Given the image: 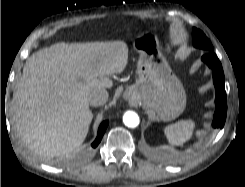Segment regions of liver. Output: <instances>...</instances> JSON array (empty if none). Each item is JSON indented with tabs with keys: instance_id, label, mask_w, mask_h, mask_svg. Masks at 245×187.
Wrapping results in <instances>:
<instances>
[{
	"instance_id": "obj_1",
	"label": "liver",
	"mask_w": 245,
	"mask_h": 187,
	"mask_svg": "<svg viewBox=\"0 0 245 187\" xmlns=\"http://www.w3.org/2000/svg\"><path fill=\"white\" fill-rule=\"evenodd\" d=\"M128 63L123 41L59 42L31 55L14 85L11 121L35 154L64 156L85 140L93 114L91 92L111 88L108 76Z\"/></svg>"
}]
</instances>
